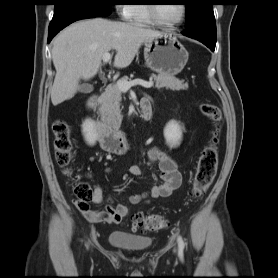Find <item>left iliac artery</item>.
I'll return each mask as SVG.
<instances>
[{
  "mask_svg": "<svg viewBox=\"0 0 278 278\" xmlns=\"http://www.w3.org/2000/svg\"><path fill=\"white\" fill-rule=\"evenodd\" d=\"M177 241H178L179 250L183 251V249L185 247V243H184L182 237L178 236Z\"/></svg>",
  "mask_w": 278,
  "mask_h": 278,
  "instance_id": "1",
  "label": "left iliac artery"
}]
</instances>
